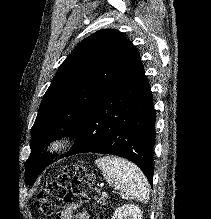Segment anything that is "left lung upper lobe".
Instances as JSON below:
<instances>
[{
    "instance_id": "5c2ea615",
    "label": "left lung upper lobe",
    "mask_w": 211,
    "mask_h": 219,
    "mask_svg": "<svg viewBox=\"0 0 211 219\" xmlns=\"http://www.w3.org/2000/svg\"><path fill=\"white\" fill-rule=\"evenodd\" d=\"M138 56L125 35L111 29L95 32L74 48L56 72L32 127L25 172L28 184L44 169L33 154L46 142L73 136L85 115Z\"/></svg>"
}]
</instances>
